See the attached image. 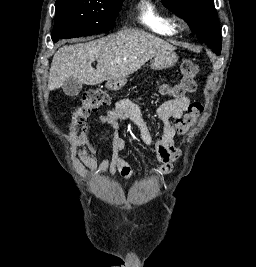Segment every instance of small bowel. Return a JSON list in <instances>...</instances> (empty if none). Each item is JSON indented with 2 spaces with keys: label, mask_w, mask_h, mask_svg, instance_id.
<instances>
[{
  "label": "small bowel",
  "mask_w": 256,
  "mask_h": 267,
  "mask_svg": "<svg viewBox=\"0 0 256 267\" xmlns=\"http://www.w3.org/2000/svg\"><path fill=\"white\" fill-rule=\"evenodd\" d=\"M190 104L189 97L172 99L158 107L154 116L162 123V130L158 136H154L141 120L139 107L131 98L118 100L113 107L106 110L98 117L97 129L107 127L111 132L112 149L108 158L97 161L99 147L90 138L91 126L83 124L70 135V142L80 149L79 158H74V163L79 172L84 176L119 173L124 178L135 176V170L122 156L125 148V140L120 136L119 121L131 118L135 121L142 141L150 147H154L160 165L151 170V175L161 176L172 170L173 162L179 157V151L175 147L177 133L174 119L183 118ZM81 161L87 167L83 168Z\"/></svg>",
  "instance_id": "c3829d8e"
}]
</instances>
